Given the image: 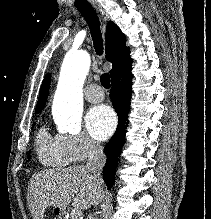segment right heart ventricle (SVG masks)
Listing matches in <instances>:
<instances>
[{"label":"right heart ventricle","instance_id":"e07e8e85","mask_svg":"<svg viewBox=\"0 0 211 219\" xmlns=\"http://www.w3.org/2000/svg\"><path fill=\"white\" fill-rule=\"evenodd\" d=\"M36 151L39 161L45 166H66L71 162L58 137L51 136L44 127L37 133Z\"/></svg>","mask_w":211,"mask_h":219}]
</instances>
